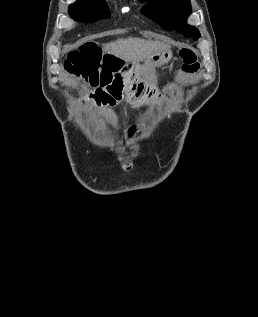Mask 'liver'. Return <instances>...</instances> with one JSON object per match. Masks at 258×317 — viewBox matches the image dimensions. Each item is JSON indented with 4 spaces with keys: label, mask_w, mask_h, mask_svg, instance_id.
I'll return each instance as SVG.
<instances>
[{
    "label": "liver",
    "mask_w": 258,
    "mask_h": 317,
    "mask_svg": "<svg viewBox=\"0 0 258 317\" xmlns=\"http://www.w3.org/2000/svg\"><path fill=\"white\" fill-rule=\"evenodd\" d=\"M104 52L114 54L117 58H122L125 62H140L144 60L145 66H150L153 54H158L160 50H171L169 42L166 40H146V38H117L114 42L103 44Z\"/></svg>",
    "instance_id": "6515ba94"
}]
</instances>
